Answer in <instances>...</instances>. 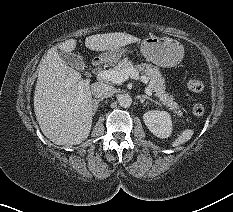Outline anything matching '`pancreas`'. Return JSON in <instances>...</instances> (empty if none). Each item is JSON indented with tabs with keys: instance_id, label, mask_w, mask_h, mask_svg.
Wrapping results in <instances>:
<instances>
[{
	"instance_id": "1",
	"label": "pancreas",
	"mask_w": 233,
	"mask_h": 212,
	"mask_svg": "<svg viewBox=\"0 0 233 212\" xmlns=\"http://www.w3.org/2000/svg\"><path fill=\"white\" fill-rule=\"evenodd\" d=\"M128 68H135L137 71L141 72L145 76H148L150 81V88L159 98L166 107L173 111L177 115H181L180 106L174 101L172 95L166 93L164 86V78L159 70V68L153 66L152 64L141 63L139 65H134V63L128 58L120 61L113 69L114 70H124Z\"/></svg>"
}]
</instances>
